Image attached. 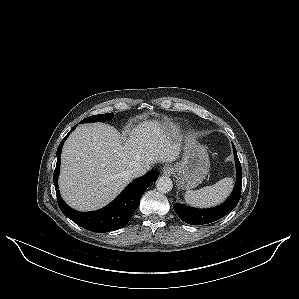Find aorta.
Masks as SVG:
<instances>
[{"instance_id":"obj_1","label":"aorta","mask_w":299,"mask_h":299,"mask_svg":"<svg viewBox=\"0 0 299 299\" xmlns=\"http://www.w3.org/2000/svg\"><path fill=\"white\" fill-rule=\"evenodd\" d=\"M156 188L161 193H168L173 188L172 180L166 176H160L156 180Z\"/></svg>"}]
</instances>
